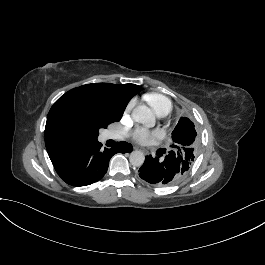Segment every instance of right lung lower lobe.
I'll list each match as a JSON object with an SVG mask.
<instances>
[{
    "instance_id": "right-lung-lower-lobe-1",
    "label": "right lung lower lobe",
    "mask_w": 265,
    "mask_h": 265,
    "mask_svg": "<svg viewBox=\"0 0 265 265\" xmlns=\"http://www.w3.org/2000/svg\"><path fill=\"white\" fill-rule=\"evenodd\" d=\"M97 140L77 146L52 162L58 175L72 186H86L100 180L107 172L109 160L116 153H130L131 144L117 142L110 149H101Z\"/></svg>"
}]
</instances>
